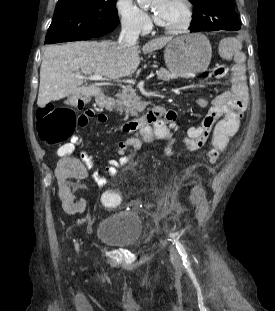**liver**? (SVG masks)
I'll return each instance as SVG.
<instances>
[{
	"mask_svg": "<svg viewBox=\"0 0 275 311\" xmlns=\"http://www.w3.org/2000/svg\"><path fill=\"white\" fill-rule=\"evenodd\" d=\"M172 39L155 38L143 45L142 52L147 54L161 49ZM140 52L136 44L123 48L111 41H80L49 46L40 68L38 106L43 108L49 102L71 94H82L86 99L98 96L101 88L97 85L83 86V79L77 75L97 74L108 79L132 75L140 64Z\"/></svg>",
	"mask_w": 275,
	"mask_h": 311,
	"instance_id": "obj_1",
	"label": "liver"
}]
</instances>
